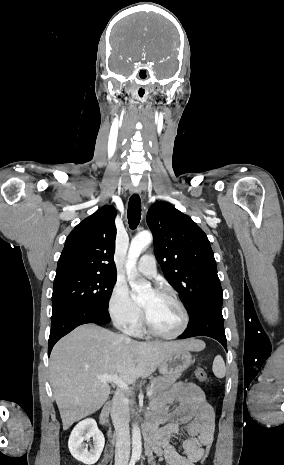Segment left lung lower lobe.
Here are the masks:
<instances>
[{
  "instance_id": "obj_1",
  "label": "left lung lower lobe",
  "mask_w": 284,
  "mask_h": 465,
  "mask_svg": "<svg viewBox=\"0 0 284 465\" xmlns=\"http://www.w3.org/2000/svg\"><path fill=\"white\" fill-rule=\"evenodd\" d=\"M195 336L214 338L219 341L227 351L222 306H204L190 315L188 327L179 338L185 339Z\"/></svg>"
}]
</instances>
